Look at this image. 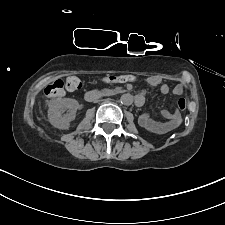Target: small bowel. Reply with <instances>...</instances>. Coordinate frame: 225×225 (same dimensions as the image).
<instances>
[{
	"mask_svg": "<svg viewBox=\"0 0 225 225\" xmlns=\"http://www.w3.org/2000/svg\"><path fill=\"white\" fill-rule=\"evenodd\" d=\"M160 83L161 80L159 78L153 77L149 79L151 86H158ZM160 91L163 95H167L170 92V87L167 84H162ZM173 91L176 95H183L185 93L182 84H177ZM136 96L142 97L144 101V92H140ZM158 115L164 118L165 121L154 120L149 113H144L140 116V124L149 132L161 134L176 128L182 122L181 114L177 110L171 111L164 109Z\"/></svg>",
	"mask_w": 225,
	"mask_h": 225,
	"instance_id": "c3829d8e",
	"label": "small bowel"
}]
</instances>
